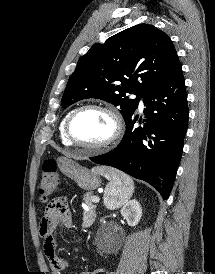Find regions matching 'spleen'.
<instances>
[{
  "label": "spleen",
  "mask_w": 215,
  "mask_h": 274,
  "mask_svg": "<svg viewBox=\"0 0 215 274\" xmlns=\"http://www.w3.org/2000/svg\"><path fill=\"white\" fill-rule=\"evenodd\" d=\"M93 171L110 180L103 195L104 205L108 209H115L128 202L134 191L131 177L109 167H96Z\"/></svg>",
  "instance_id": "obj_1"
}]
</instances>
